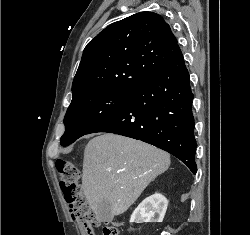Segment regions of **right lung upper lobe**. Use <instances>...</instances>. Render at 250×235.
Instances as JSON below:
<instances>
[{
	"instance_id": "obj_1",
	"label": "right lung upper lobe",
	"mask_w": 250,
	"mask_h": 235,
	"mask_svg": "<svg viewBox=\"0 0 250 235\" xmlns=\"http://www.w3.org/2000/svg\"><path fill=\"white\" fill-rule=\"evenodd\" d=\"M177 47L170 26L153 12L109 25L84 49L72 100L98 90L134 91L168 66Z\"/></svg>"
}]
</instances>
